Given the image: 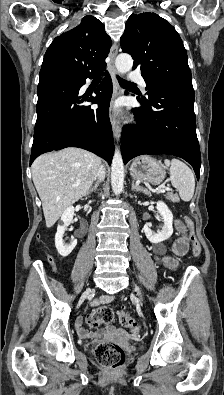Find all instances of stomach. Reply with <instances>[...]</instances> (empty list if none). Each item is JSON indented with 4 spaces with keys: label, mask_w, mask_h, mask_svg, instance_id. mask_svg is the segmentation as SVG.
Instances as JSON below:
<instances>
[{
    "label": "stomach",
    "mask_w": 224,
    "mask_h": 395,
    "mask_svg": "<svg viewBox=\"0 0 224 395\" xmlns=\"http://www.w3.org/2000/svg\"><path fill=\"white\" fill-rule=\"evenodd\" d=\"M166 167L150 156L136 158L130 167V174L135 180L146 181L153 185L160 184L166 175Z\"/></svg>",
    "instance_id": "stomach-1"
}]
</instances>
